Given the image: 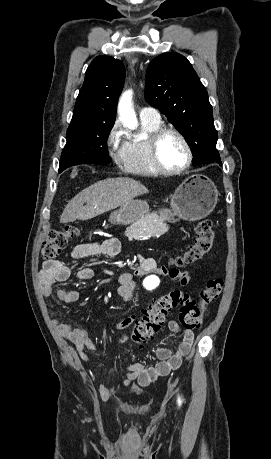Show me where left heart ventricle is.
Returning a JSON list of instances; mask_svg holds the SVG:
<instances>
[{"label":"left heart ventricle","mask_w":271,"mask_h":459,"mask_svg":"<svg viewBox=\"0 0 271 459\" xmlns=\"http://www.w3.org/2000/svg\"><path fill=\"white\" fill-rule=\"evenodd\" d=\"M163 162L169 167H180L188 159V151L183 140L176 134H166L160 143Z\"/></svg>","instance_id":"obj_1"}]
</instances>
